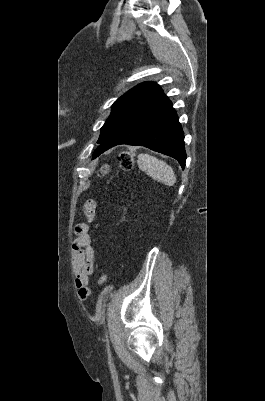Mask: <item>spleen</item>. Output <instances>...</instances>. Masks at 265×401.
I'll list each match as a JSON object with an SVG mask.
<instances>
[{
  "label": "spleen",
  "instance_id": "1",
  "mask_svg": "<svg viewBox=\"0 0 265 401\" xmlns=\"http://www.w3.org/2000/svg\"><path fill=\"white\" fill-rule=\"evenodd\" d=\"M137 162L140 170L150 174L154 180H160V182L168 184V186L175 184L176 176L174 170L164 160H159L156 156L141 152V154H138Z\"/></svg>",
  "mask_w": 265,
  "mask_h": 401
}]
</instances>
